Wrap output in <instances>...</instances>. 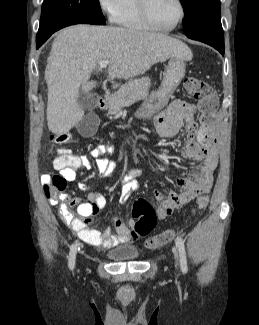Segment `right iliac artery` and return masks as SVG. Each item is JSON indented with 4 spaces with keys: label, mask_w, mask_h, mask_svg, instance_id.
Masks as SVG:
<instances>
[{
    "label": "right iliac artery",
    "mask_w": 259,
    "mask_h": 325,
    "mask_svg": "<svg viewBox=\"0 0 259 325\" xmlns=\"http://www.w3.org/2000/svg\"><path fill=\"white\" fill-rule=\"evenodd\" d=\"M78 241H76L69 252V257H68V266L71 270L74 269L75 267V259H76V253H77V249H78Z\"/></svg>",
    "instance_id": "obj_1"
}]
</instances>
